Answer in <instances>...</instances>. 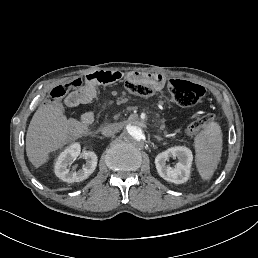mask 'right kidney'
<instances>
[{
  "label": "right kidney",
  "mask_w": 258,
  "mask_h": 258,
  "mask_svg": "<svg viewBox=\"0 0 258 258\" xmlns=\"http://www.w3.org/2000/svg\"><path fill=\"white\" fill-rule=\"evenodd\" d=\"M81 143L73 142L69 146L65 147L59 156L56 158L54 165L55 175L65 182H79L85 180L91 175L97 166V156L94 152H86L84 157L86 164L82 166L78 171L74 169H68L67 164L74 158L80 155Z\"/></svg>",
  "instance_id": "obj_1"
}]
</instances>
